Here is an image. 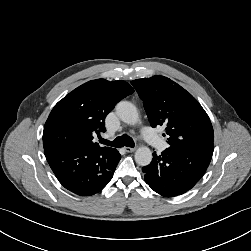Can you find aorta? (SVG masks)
Instances as JSON below:
<instances>
[{
  "instance_id": "1",
  "label": "aorta",
  "mask_w": 251,
  "mask_h": 251,
  "mask_svg": "<svg viewBox=\"0 0 251 251\" xmlns=\"http://www.w3.org/2000/svg\"><path fill=\"white\" fill-rule=\"evenodd\" d=\"M117 116L124 122L130 125H135L139 122V114L137 108L128 101H120L116 107ZM135 161L140 166H147L152 161V152L146 146L139 147L135 152Z\"/></svg>"
}]
</instances>
